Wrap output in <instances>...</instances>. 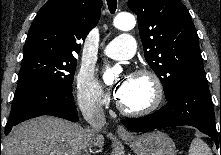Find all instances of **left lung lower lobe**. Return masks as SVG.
<instances>
[{
  "label": "left lung lower lobe",
  "instance_id": "1",
  "mask_svg": "<svg viewBox=\"0 0 221 155\" xmlns=\"http://www.w3.org/2000/svg\"><path fill=\"white\" fill-rule=\"evenodd\" d=\"M167 101L165 106L153 114L142 118L123 119L122 123L133 132L190 125L209 135L218 147L215 114L207 80L183 85Z\"/></svg>",
  "mask_w": 221,
  "mask_h": 155
}]
</instances>
